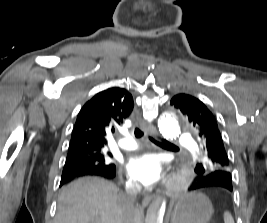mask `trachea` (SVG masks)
Returning <instances> with one entry per match:
<instances>
[{"label": "trachea", "instance_id": "1", "mask_svg": "<svg viewBox=\"0 0 267 223\" xmlns=\"http://www.w3.org/2000/svg\"><path fill=\"white\" fill-rule=\"evenodd\" d=\"M134 134H135V137H136V138H140V137L143 136V132H142L138 127L135 128ZM149 139H150L153 143H155V144H157V145H160V146H165V147H176L174 144H172V143L166 141L165 139H160V138H157V139H156V138L151 137V136H149Z\"/></svg>", "mask_w": 267, "mask_h": 223}]
</instances>
